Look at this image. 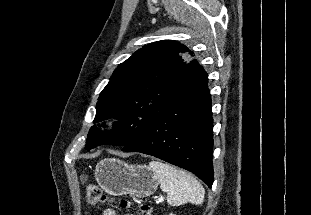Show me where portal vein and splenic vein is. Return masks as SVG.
Listing matches in <instances>:
<instances>
[{
  "mask_svg": "<svg viewBox=\"0 0 311 215\" xmlns=\"http://www.w3.org/2000/svg\"><path fill=\"white\" fill-rule=\"evenodd\" d=\"M163 200H164V198H163V197L158 198V199L156 200V203H160V202H162Z\"/></svg>",
  "mask_w": 311,
  "mask_h": 215,
  "instance_id": "1",
  "label": "portal vein and splenic vein"
}]
</instances>
